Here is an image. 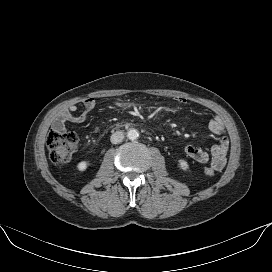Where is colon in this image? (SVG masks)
Wrapping results in <instances>:
<instances>
[{
	"mask_svg": "<svg viewBox=\"0 0 272 272\" xmlns=\"http://www.w3.org/2000/svg\"><path fill=\"white\" fill-rule=\"evenodd\" d=\"M77 143L78 138L74 132L51 129L46 140L51 161L57 165L67 163L76 151ZM203 172L207 176H213L215 173L212 167H204Z\"/></svg>",
	"mask_w": 272,
	"mask_h": 272,
	"instance_id": "5ec220e1",
	"label": "colon"
}]
</instances>
